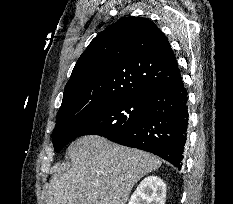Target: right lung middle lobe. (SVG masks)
<instances>
[{"mask_svg": "<svg viewBox=\"0 0 233 204\" xmlns=\"http://www.w3.org/2000/svg\"><path fill=\"white\" fill-rule=\"evenodd\" d=\"M148 115V95L110 101L56 126L52 133L54 150L60 151L68 141L79 136L99 135L113 138L118 133L133 128Z\"/></svg>", "mask_w": 233, "mask_h": 204, "instance_id": "right-lung-middle-lobe-1", "label": "right lung middle lobe"}]
</instances>
